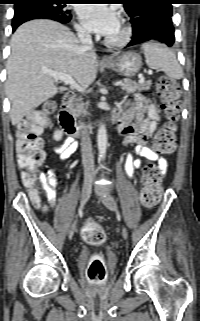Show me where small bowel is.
<instances>
[{"instance_id": "1", "label": "small bowel", "mask_w": 200, "mask_h": 321, "mask_svg": "<svg viewBox=\"0 0 200 321\" xmlns=\"http://www.w3.org/2000/svg\"><path fill=\"white\" fill-rule=\"evenodd\" d=\"M118 118V129L124 136L126 145H135V152L150 161H156L158 168L164 173L168 168V162L160 157L157 152L146 144L153 135L160 118L156 105L142 95H136L133 102H126L122 106ZM77 144L72 138L66 139L54 149L61 161L68 160L76 151ZM142 166V160L128 154L125 159V170L130 178L134 177L136 170ZM45 195L51 206H54L57 196L56 168H50L39 176Z\"/></svg>"}]
</instances>
